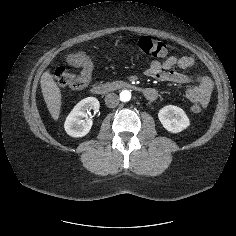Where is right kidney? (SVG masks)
Returning <instances> with one entry per match:
<instances>
[{
  "label": "right kidney",
  "instance_id": "obj_1",
  "mask_svg": "<svg viewBox=\"0 0 236 236\" xmlns=\"http://www.w3.org/2000/svg\"><path fill=\"white\" fill-rule=\"evenodd\" d=\"M99 101L95 97H87L81 100L67 116L64 128L72 137H83L91 129L94 115L99 111ZM93 109L94 115H87Z\"/></svg>",
  "mask_w": 236,
  "mask_h": 236
}]
</instances>
